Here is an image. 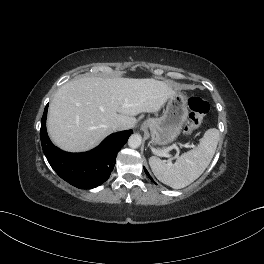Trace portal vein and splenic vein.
<instances>
[{
	"label": "portal vein and splenic vein",
	"instance_id": "18ae733b",
	"mask_svg": "<svg viewBox=\"0 0 264 264\" xmlns=\"http://www.w3.org/2000/svg\"><path fill=\"white\" fill-rule=\"evenodd\" d=\"M183 147H194V145L193 144H183L182 145ZM160 156H164V157H169V155L167 154V152H162V153H160Z\"/></svg>",
	"mask_w": 264,
	"mask_h": 264
}]
</instances>
